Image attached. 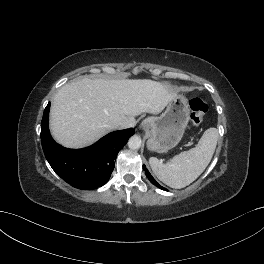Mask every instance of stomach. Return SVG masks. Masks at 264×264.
I'll use <instances>...</instances> for the list:
<instances>
[{
  "instance_id": "1",
  "label": "stomach",
  "mask_w": 264,
  "mask_h": 264,
  "mask_svg": "<svg viewBox=\"0 0 264 264\" xmlns=\"http://www.w3.org/2000/svg\"><path fill=\"white\" fill-rule=\"evenodd\" d=\"M190 117L188 100L177 95L159 117H148L143 125L149 130L147 148L150 151H168L179 144Z\"/></svg>"
}]
</instances>
